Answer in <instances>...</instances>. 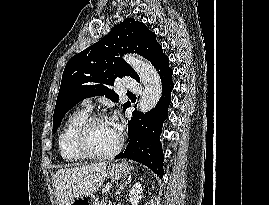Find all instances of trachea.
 <instances>
[{"mask_svg": "<svg viewBox=\"0 0 269 205\" xmlns=\"http://www.w3.org/2000/svg\"><path fill=\"white\" fill-rule=\"evenodd\" d=\"M128 95H132V92H127Z\"/></svg>", "mask_w": 269, "mask_h": 205, "instance_id": "3493384b", "label": "trachea"}]
</instances>
